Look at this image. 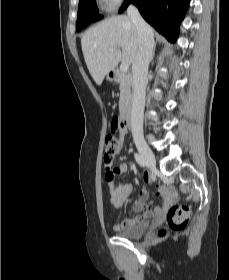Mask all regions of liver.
I'll return each mask as SVG.
<instances>
[{"label": "liver", "mask_w": 229, "mask_h": 280, "mask_svg": "<svg viewBox=\"0 0 229 280\" xmlns=\"http://www.w3.org/2000/svg\"><path fill=\"white\" fill-rule=\"evenodd\" d=\"M81 46L87 68L100 86L120 61L133 64L138 51L137 29L129 16H113L90 28L82 36Z\"/></svg>", "instance_id": "6515ba94"}]
</instances>
